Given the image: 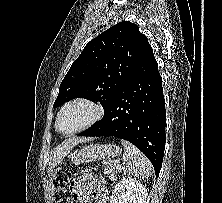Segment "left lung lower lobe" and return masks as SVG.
Here are the masks:
<instances>
[{
    "mask_svg": "<svg viewBox=\"0 0 222 203\" xmlns=\"http://www.w3.org/2000/svg\"><path fill=\"white\" fill-rule=\"evenodd\" d=\"M104 116L78 136H114L139 148L158 176L165 148L162 79L151 46L113 94Z\"/></svg>",
    "mask_w": 222,
    "mask_h": 203,
    "instance_id": "1",
    "label": "left lung lower lobe"
}]
</instances>
